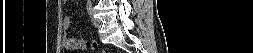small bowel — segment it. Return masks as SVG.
Listing matches in <instances>:
<instances>
[{
  "label": "small bowel",
  "instance_id": "1",
  "mask_svg": "<svg viewBox=\"0 0 253 53\" xmlns=\"http://www.w3.org/2000/svg\"><path fill=\"white\" fill-rule=\"evenodd\" d=\"M62 27L64 30H67L69 27V19L65 17L62 22ZM63 44L66 49L74 50L79 48L78 47V40L70 35H68L66 32L64 34Z\"/></svg>",
  "mask_w": 253,
  "mask_h": 53
}]
</instances>
